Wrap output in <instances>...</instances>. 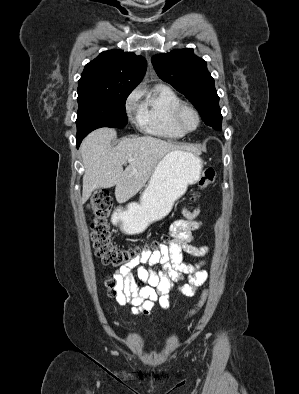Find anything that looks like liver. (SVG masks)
Instances as JSON below:
<instances>
[{
    "instance_id": "obj_1",
    "label": "liver",
    "mask_w": 299,
    "mask_h": 394,
    "mask_svg": "<svg viewBox=\"0 0 299 394\" xmlns=\"http://www.w3.org/2000/svg\"><path fill=\"white\" fill-rule=\"evenodd\" d=\"M115 137L114 129L100 128L83 140L80 148L85 168L82 203L95 189L113 186H116L117 201L126 202L142 189L167 153L181 149L180 145L152 136L124 138L112 147ZM128 159L132 162L123 170Z\"/></svg>"
}]
</instances>
